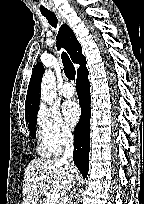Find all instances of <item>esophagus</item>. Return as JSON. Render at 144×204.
Wrapping results in <instances>:
<instances>
[{
	"instance_id": "esophagus-1",
	"label": "esophagus",
	"mask_w": 144,
	"mask_h": 204,
	"mask_svg": "<svg viewBox=\"0 0 144 204\" xmlns=\"http://www.w3.org/2000/svg\"><path fill=\"white\" fill-rule=\"evenodd\" d=\"M56 15L58 16V18L60 19V21H62V22L64 21L62 15H61L59 12L56 11Z\"/></svg>"
}]
</instances>
